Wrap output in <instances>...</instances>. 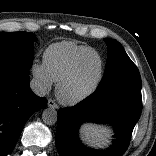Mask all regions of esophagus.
I'll return each mask as SVG.
<instances>
[{
	"label": "esophagus",
	"mask_w": 156,
	"mask_h": 156,
	"mask_svg": "<svg viewBox=\"0 0 156 156\" xmlns=\"http://www.w3.org/2000/svg\"><path fill=\"white\" fill-rule=\"evenodd\" d=\"M48 106H49L50 108H53V109H58V105H57L56 102H55L54 100H52V99H49V100H48Z\"/></svg>",
	"instance_id": "obj_1"
}]
</instances>
